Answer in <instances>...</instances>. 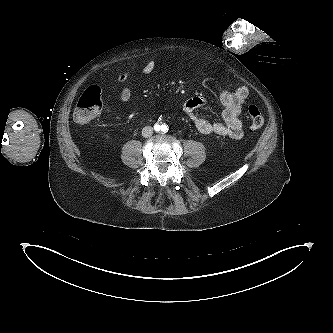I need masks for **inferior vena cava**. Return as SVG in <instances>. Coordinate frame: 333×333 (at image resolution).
I'll use <instances>...</instances> for the list:
<instances>
[{"mask_svg": "<svg viewBox=\"0 0 333 333\" xmlns=\"http://www.w3.org/2000/svg\"><path fill=\"white\" fill-rule=\"evenodd\" d=\"M153 134V128L151 126H145L143 129H142V136L143 137H150L152 136Z\"/></svg>", "mask_w": 333, "mask_h": 333, "instance_id": "602c4592", "label": "inferior vena cava"}]
</instances>
